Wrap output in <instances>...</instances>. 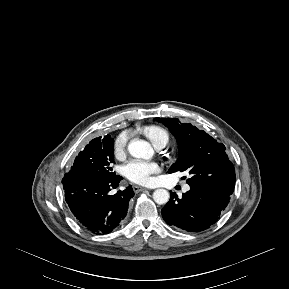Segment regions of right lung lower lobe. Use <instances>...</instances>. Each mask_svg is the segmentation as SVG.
<instances>
[{
	"label": "right lung lower lobe",
	"instance_id": "right-lung-lower-lobe-1",
	"mask_svg": "<svg viewBox=\"0 0 289 289\" xmlns=\"http://www.w3.org/2000/svg\"><path fill=\"white\" fill-rule=\"evenodd\" d=\"M121 176L90 177L70 170L63 178L65 200L77 221L94 234H107L127 214L129 200L134 196L131 186L116 194L109 192L119 186Z\"/></svg>",
	"mask_w": 289,
	"mask_h": 289
}]
</instances>
